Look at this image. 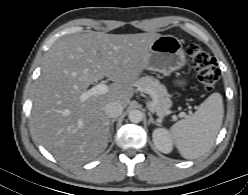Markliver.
Wrapping results in <instances>:
<instances>
[{
	"mask_svg": "<svg viewBox=\"0 0 248 195\" xmlns=\"http://www.w3.org/2000/svg\"><path fill=\"white\" fill-rule=\"evenodd\" d=\"M159 37L89 32L59 40L48 51L34 91L31 124L58 161L84 163L106 149L111 128L105 106L129 104L149 48ZM104 77L113 82L108 92L82 101L80 95Z\"/></svg>",
	"mask_w": 248,
	"mask_h": 195,
	"instance_id": "obj_1",
	"label": "liver"
}]
</instances>
